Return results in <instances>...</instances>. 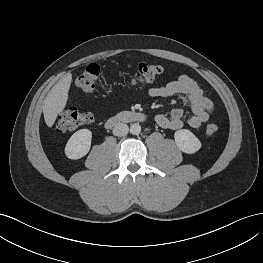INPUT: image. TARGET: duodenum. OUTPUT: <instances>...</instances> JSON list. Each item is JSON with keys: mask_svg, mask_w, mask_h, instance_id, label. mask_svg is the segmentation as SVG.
Wrapping results in <instances>:
<instances>
[{"mask_svg": "<svg viewBox=\"0 0 263 263\" xmlns=\"http://www.w3.org/2000/svg\"><path fill=\"white\" fill-rule=\"evenodd\" d=\"M146 115L139 111H131L120 115L111 116L106 119L105 124L107 127H114L124 122H144Z\"/></svg>", "mask_w": 263, "mask_h": 263, "instance_id": "obj_1", "label": "duodenum"}]
</instances>
